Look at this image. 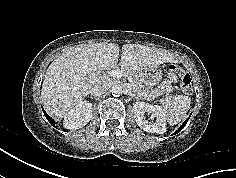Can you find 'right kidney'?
<instances>
[{
  "label": "right kidney",
  "instance_id": "right-kidney-1",
  "mask_svg": "<svg viewBox=\"0 0 236 178\" xmlns=\"http://www.w3.org/2000/svg\"><path fill=\"white\" fill-rule=\"evenodd\" d=\"M92 118V103L81 101L64 117L63 125L66 129H79Z\"/></svg>",
  "mask_w": 236,
  "mask_h": 178
}]
</instances>
